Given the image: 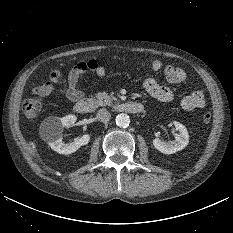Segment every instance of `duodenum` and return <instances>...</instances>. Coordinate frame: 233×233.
Instances as JSON below:
<instances>
[{
    "label": "duodenum",
    "instance_id": "1",
    "mask_svg": "<svg viewBox=\"0 0 233 233\" xmlns=\"http://www.w3.org/2000/svg\"><path fill=\"white\" fill-rule=\"evenodd\" d=\"M99 104L100 102L94 98H82L75 102L74 109L79 114H87L93 112ZM115 108L119 111L132 114L141 113L144 110L141 103L134 101L120 102Z\"/></svg>",
    "mask_w": 233,
    "mask_h": 233
}]
</instances>
